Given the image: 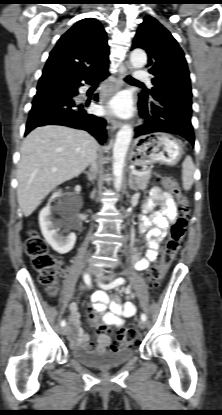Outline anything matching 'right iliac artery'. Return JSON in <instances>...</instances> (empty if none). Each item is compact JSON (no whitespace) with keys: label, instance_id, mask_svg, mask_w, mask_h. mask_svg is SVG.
<instances>
[{"label":"right iliac artery","instance_id":"1","mask_svg":"<svg viewBox=\"0 0 222 415\" xmlns=\"http://www.w3.org/2000/svg\"><path fill=\"white\" fill-rule=\"evenodd\" d=\"M84 281L87 285H91V278H90L89 274L84 275ZM60 324H61L62 327H64L66 325L65 320H62Z\"/></svg>","mask_w":222,"mask_h":415}]
</instances>
